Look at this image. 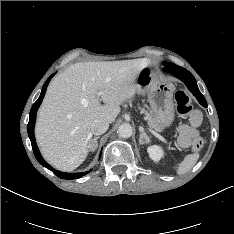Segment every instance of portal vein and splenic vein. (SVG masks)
Masks as SVG:
<instances>
[{
  "instance_id": "18ae733b",
  "label": "portal vein and splenic vein",
  "mask_w": 234,
  "mask_h": 234,
  "mask_svg": "<svg viewBox=\"0 0 234 234\" xmlns=\"http://www.w3.org/2000/svg\"><path fill=\"white\" fill-rule=\"evenodd\" d=\"M156 137H158L160 140H162L163 142H167L162 136H160L159 134L157 133H154Z\"/></svg>"
}]
</instances>
